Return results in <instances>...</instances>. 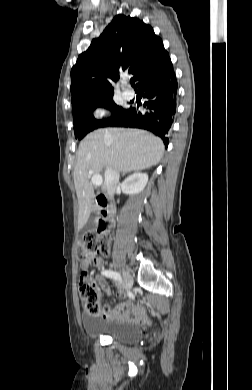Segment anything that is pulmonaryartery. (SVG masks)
<instances>
[{
    "label": "pulmonary artery",
    "instance_id": "obj_1",
    "mask_svg": "<svg viewBox=\"0 0 252 390\" xmlns=\"http://www.w3.org/2000/svg\"><path fill=\"white\" fill-rule=\"evenodd\" d=\"M123 95L128 100L133 99L135 96L134 92L128 87V85H127L126 89L124 90Z\"/></svg>",
    "mask_w": 252,
    "mask_h": 390
}]
</instances>
